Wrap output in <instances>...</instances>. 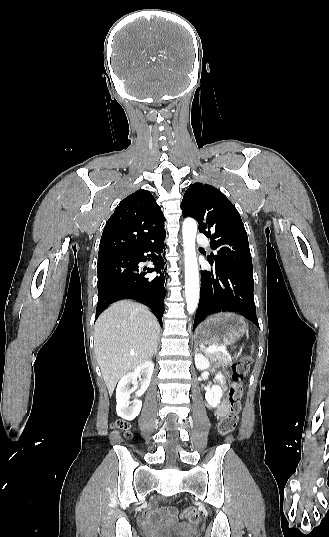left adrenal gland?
<instances>
[{
    "label": "left adrenal gland",
    "mask_w": 329,
    "mask_h": 537,
    "mask_svg": "<svg viewBox=\"0 0 329 537\" xmlns=\"http://www.w3.org/2000/svg\"><path fill=\"white\" fill-rule=\"evenodd\" d=\"M199 350H201V349L198 347V344L195 343V352H197V351H199Z\"/></svg>",
    "instance_id": "obj_1"
}]
</instances>
